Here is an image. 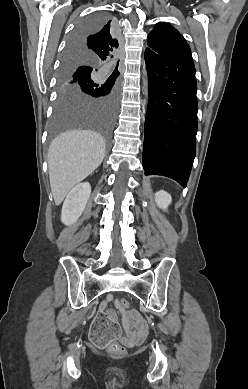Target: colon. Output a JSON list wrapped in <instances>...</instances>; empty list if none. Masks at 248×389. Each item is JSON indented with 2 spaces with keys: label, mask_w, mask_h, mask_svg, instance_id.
Listing matches in <instances>:
<instances>
[{
  "label": "colon",
  "mask_w": 248,
  "mask_h": 389,
  "mask_svg": "<svg viewBox=\"0 0 248 389\" xmlns=\"http://www.w3.org/2000/svg\"><path fill=\"white\" fill-rule=\"evenodd\" d=\"M118 304L122 309L130 307L129 301L121 299ZM94 322L91 323L90 337L93 340L92 346L97 350H108L112 356H122L125 352L124 347L117 342H110L112 337H122V330H118L116 319L109 318L105 311L93 312ZM108 344V345H107Z\"/></svg>",
  "instance_id": "colon-1"
}]
</instances>
